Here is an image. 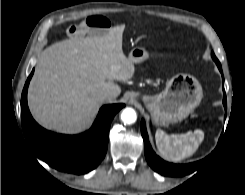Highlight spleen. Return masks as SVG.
Segmentation results:
<instances>
[{
    "label": "spleen",
    "instance_id": "3e777b00",
    "mask_svg": "<svg viewBox=\"0 0 245 195\" xmlns=\"http://www.w3.org/2000/svg\"><path fill=\"white\" fill-rule=\"evenodd\" d=\"M204 139L200 129L185 134L168 135L158 129L155 133L156 146L159 153L167 160L179 162L192 156Z\"/></svg>",
    "mask_w": 245,
    "mask_h": 195
}]
</instances>
